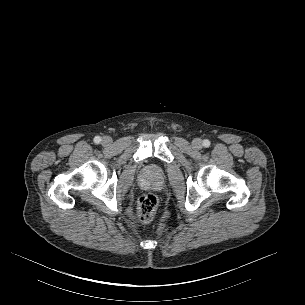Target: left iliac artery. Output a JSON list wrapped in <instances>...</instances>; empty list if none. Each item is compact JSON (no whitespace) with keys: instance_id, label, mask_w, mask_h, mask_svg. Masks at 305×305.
<instances>
[{"instance_id":"obj_1","label":"left iliac artery","mask_w":305,"mask_h":305,"mask_svg":"<svg viewBox=\"0 0 305 305\" xmlns=\"http://www.w3.org/2000/svg\"><path fill=\"white\" fill-rule=\"evenodd\" d=\"M203 146H204V147H209V146H210V141H209L208 139H205V140L203 141Z\"/></svg>"}]
</instances>
